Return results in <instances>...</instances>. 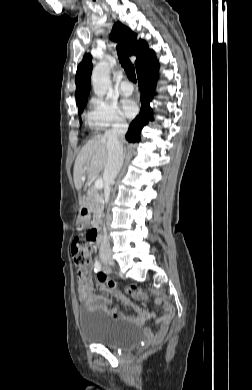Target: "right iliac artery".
<instances>
[{
    "mask_svg": "<svg viewBox=\"0 0 252 390\" xmlns=\"http://www.w3.org/2000/svg\"><path fill=\"white\" fill-rule=\"evenodd\" d=\"M95 272H98L101 270V263L99 261L96 260L95 262Z\"/></svg>",
    "mask_w": 252,
    "mask_h": 390,
    "instance_id": "1",
    "label": "right iliac artery"
}]
</instances>
